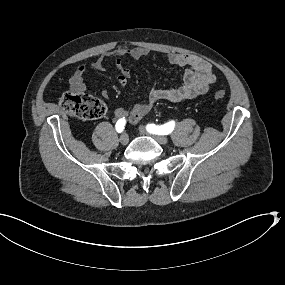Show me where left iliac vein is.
Segmentation results:
<instances>
[{
    "label": "left iliac vein",
    "mask_w": 285,
    "mask_h": 285,
    "mask_svg": "<svg viewBox=\"0 0 285 285\" xmlns=\"http://www.w3.org/2000/svg\"><path fill=\"white\" fill-rule=\"evenodd\" d=\"M139 131H140L141 134L145 133L143 127H140ZM150 136L152 138H154L159 144L165 145V144L168 143V138L166 136H164V135L150 134Z\"/></svg>",
    "instance_id": "1"
}]
</instances>
